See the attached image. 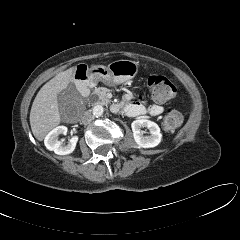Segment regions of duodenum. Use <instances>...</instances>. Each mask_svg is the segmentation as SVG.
<instances>
[{"instance_id":"1","label":"duodenum","mask_w":240,"mask_h":240,"mask_svg":"<svg viewBox=\"0 0 240 240\" xmlns=\"http://www.w3.org/2000/svg\"><path fill=\"white\" fill-rule=\"evenodd\" d=\"M90 78L86 74H81L78 77V89L83 96H87L89 94V86H90ZM112 111L117 112L119 111V105H112Z\"/></svg>"}]
</instances>
